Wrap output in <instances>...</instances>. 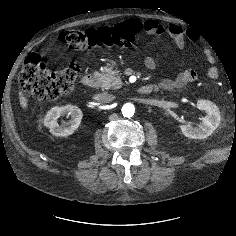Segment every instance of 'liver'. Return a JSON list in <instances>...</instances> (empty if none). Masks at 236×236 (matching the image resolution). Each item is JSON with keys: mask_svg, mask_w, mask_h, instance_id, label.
Here are the masks:
<instances>
[{"mask_svg": "<svg viewBox=\"0 0 236 236\" xmlns=\"http://www.w3.org/2000/svg\"><path fill=\"white\" fill-rule=\"evenodd\" d=\"M19 102L24 111L28 109V99L25 96V94L22 92V90L19 91Z\"/></svg>", "mask_w": 236, "mask_h": 236, "instance_id": "1", "label": "liver"}]
</instances>
